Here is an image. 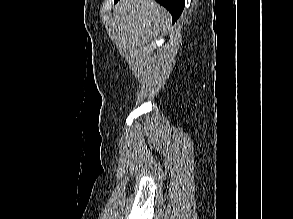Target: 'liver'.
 <instances>
[{"mask_svg": "<svg viewBox=\"0 0 293 219\" xmlns=\"http://www.w3.org/2000/svg\"><path fill=\"white\" fill-rule=\"evenodd\" d=\"M170 21V13L154 0H120L113 10L117 38L130 54L157 37Z\"/></svg>", "mask_w": 293, "mask_h": 219, "instance_id": "1", "label": "liver"}]
</instances>
